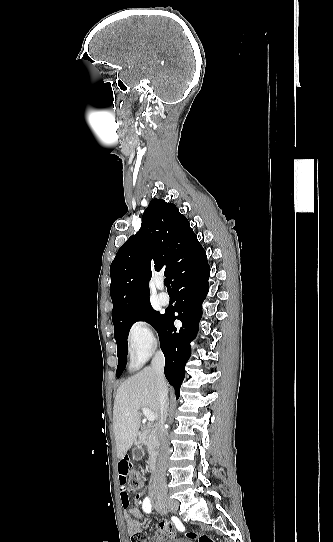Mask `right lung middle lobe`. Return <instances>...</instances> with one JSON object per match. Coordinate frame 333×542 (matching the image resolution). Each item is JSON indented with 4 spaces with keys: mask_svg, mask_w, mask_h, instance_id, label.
<instances>
[{
    "mask_svg": "<svg viewBox=\"0 0 333 542\" xmlns=\"http://www.w3.org/2000/svg\"><path fill=\"white\" fill-rule=\"evenodd\" d=\"M163 318L164 315L155 311L149 304L113 320L118 356L117 378L121 376L126 367L128 354L127 337L131 326L137 321H146L158 330Z\"/></svg>",
    "mask_w": 333,
    "mask_h": 542,
    "instance_id": "obj_1",
    "label": "right lung middle lobe"
}]
</instances>
